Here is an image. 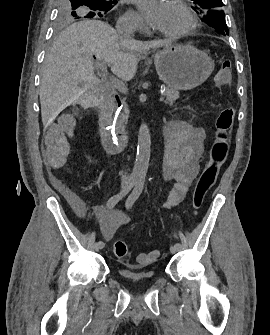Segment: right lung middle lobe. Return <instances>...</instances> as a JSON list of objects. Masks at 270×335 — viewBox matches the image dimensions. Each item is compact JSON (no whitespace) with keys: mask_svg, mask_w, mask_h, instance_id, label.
<instances>
[{"mask_svg":"<svg viewBox=\"0 0 270 335\" xmlns=\"http://www.w3.org/2000/svg\"><path fill=\"white\" fill-rule=\"evenodd\" d=\"M117 4L116 0H60L57 20L59 24L105 16Z\"/></svg>","mask_w":270,"mask_h":335,"instance_id":"1","label":"right lung middle lobe"}]
</instances>
